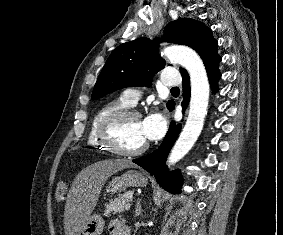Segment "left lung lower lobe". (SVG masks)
Segmentation results:
<instances>
[{
  "instance_id": "1",
  "label": "left lung lower lobe",
  "mask_w": 283,
  "mask_h": 235,
  "mask_svg": "<svg viewBox=\"0 0 283 235\" xmlns=\"http://www.w3.org/2000/svg\"><path fill=\"white\" fill-rule=\"evenodd\" d=\"M210 85L213 91L217 90V82L221 77V74L218 70V63L206 69ZM183 97L181 105L183 110L188 105L190 98V81L189 75L183 77ZM175 107V104L171 108L172 111ZM181 130V125L171 122L169 130L159 148L153 153L143 156L138 159H134L133 162L138 164L147 170L151 175H154L156 181L170 193H179L181 192L182 187V176L179 171L166 172L167 167L165 166L166 158L171 150L174 142L177 139V136Z\"/></svg>"
}]
</instances>
